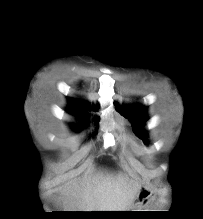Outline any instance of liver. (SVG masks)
I'll list each match as a JSON object with an SVG mask.
<instances>
[{"instance_id": "6515ba94", "label": "liver", "mask_w": 203, "mask_h": 219, "mask_svg": "<svg viewBox=\"0 0 203 219\" xmlns=\"http://www.w3.org/2000/svg\"><path fill=\"white\" fill-rule=\"evenodd\" d=\"M140 188L139 184L127 178L100 174L93 185L84 186L80 210L125 211Z\"/></svg>"}]
</instances>
